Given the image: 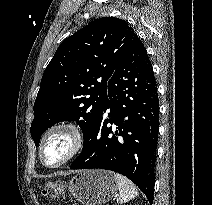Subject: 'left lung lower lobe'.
I'll use <instances>...</instances> for the list:
<instances>
[{
    "mask_svg": "<svg viewBox=\"0 0 212 205\" xmlns=\"http://www.w3.org/2000/svg\"><path fill=\"white\" fill-rule=\"evenodd\" d=\"M108 97L70 168L118 172L135 183L152 205L159 100L152 65L137 34L108 81Z\"/></svg>",
    "mask_w": 212,
    "mask_h": 205,
    "instance_id": "1",
    "label": "left lung lower lobe"
}]
</instances>
